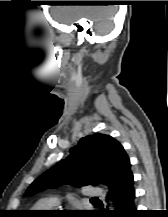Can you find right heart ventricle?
Returning a JSON list of instances; mask_svg holds the SVG:
<instances>
[{
    "mask_svg": "<svg viewBox=\"0 0 168 217\" xmlns=\"http://www.w3.org/2000/svg\"><path fill=\"white\" fill-rule=\"evenodd\" d=\"M54 206L49 202V200H41L39 201L35 206L34 209L36 210H46L49 209L50 207Z\"/></svg>",
    "mask_w": 168,
    "mask_h": 217,
    "instance_id": "obj_1",
    "label": "right heart ventricle"
}]
</instances>
